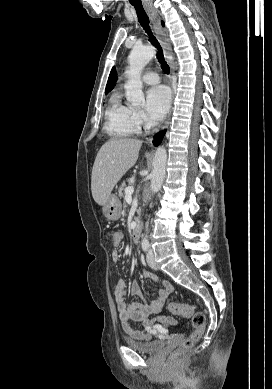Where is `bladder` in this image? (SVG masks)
Masks as SVG:
<instances>
[{
	"mask_svg": "<svg viewBox=\"0 0 272 389\" xmlns=\"http://www.w3.org/2000/svg\"><path fill=\"white\" fill-rule=\"evenodd\" d=\"M125 344L141 353L155 355L160 353L165 348V342L161 340H151V341H135L129 338L124 339Z\"/></svg>",
	"mask_w": 272,
	"mask_h": 389,
	"instance_id": "1",
	"label": "bladder"
}]
</instances>
